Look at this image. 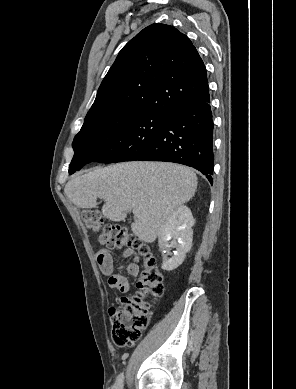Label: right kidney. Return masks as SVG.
I'll return each mask as SVG.
<instances>
[{"mask_svg":"<svg viewBox=\"0 0 296 389\" xmlns=\"http://www.w3.org/2000/svg\"><path fill=\"white\" fill-rule=\"evenodd\" d=\"M195 220L187 206H179L168 215L158 233V243L161 251L166 253L162 269L172 271L184 261L192 247ZM174 248L172 257L167 258L169 250Z\"/></svg>","mask_w":296,"mask_h":389,"instance_id":"ca27d5eb","label":"right kidney"}]
</instances>
